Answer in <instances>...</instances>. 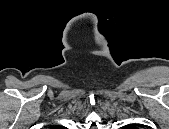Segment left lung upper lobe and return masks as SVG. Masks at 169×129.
<instances>
[{"mask_svg": "<svg viewBox=\"0 0 169 129\" xmlns=\"http://www.w3.org/2000/svg\"><path fill=\"white\" fill-rule=\"evenodd\" d=\"M128 128L131 129L132 127L129 125Z\"/></svg>", "mask_w": 169, "mask_h": 129, "instance_id": "5c2ea615", "label": "left lung upper lobe"}]
</instances>
